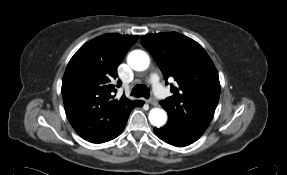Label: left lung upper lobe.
Segmentation results:
<instances>
[{
	"mask_svg": "<svg viewBox=\"0 0 287 175\" xmlns=\"http://www.w3.org/2000/svg\"><path fill=\"white\" fill-rule=\"evenodd\" d=\"M141 44L151 53L165 80L174 78L178 84H171L173 96L160 102L168 121L200 138L220 97L214 63L201 45L176 32L144 35Z\"/></svg>",
	"mask_w": 287,
	"mask_h": 175,
	"instance_id": "5c2ea615",
	"label": "left lung upper lobe"
}]
</instances>
